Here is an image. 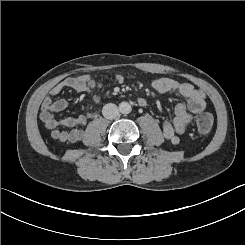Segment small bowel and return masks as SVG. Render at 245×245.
<instances>
[{"label": "small bowel", "instance_id": "c3829d8e", "mask_svg": "<svg viewBox=\"0 0 245 245\" xmlns=\"http://www.w3.org/2000/svg\"><path fill=\"white\" fill-rule=\"evenodd\" d=\"M115 81L121 84L123 82V76L116 74ZM151 85L157 92H175L187 99L186 102L179 103L176 106L174 119L166 120L162 124L163 136L172 144L177 145L181 141L180 135L190 125L193 115L204 110L206 106V95L203 91L196 89L189 83L180 82L168 77L155 79ZM65 88L87 93L94 101H99L101 97L96 91L102 88V82L88 74L68 77L52 87L42 101L40 120L50 132L51 137L60 142L75 143L82 139L83 130L81 127L86 124L91 114L84 112L76 117L57 120L54 114L63 111L69 106L66 100L55 99ZM137 102L140 106L146 105L144 98H138ZM59 127H66L69 130H62Z\"/></svg>", "mask_w": 245, "mask_h": 245}]
</instances>
